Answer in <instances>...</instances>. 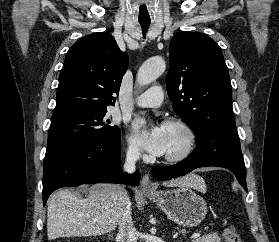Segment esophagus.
Masks as SVG:
<instances>
[{
	"instance_id": "obj_1",
	"label": "esophagus",
	"mask_w": 279,
	"mask_h": 242,
	"mask_svg": "<svg viewBox=\"0 0 279 242\" xmlns=\"http://www.w3.org/2000/svg\"><path fill=\"white\" fill-rule=\"evenodd\" d=\"M140 188L143 192H154L156 190V186L151 182L148 174L143 176Z\"/></svg>"
}]
</instances>
